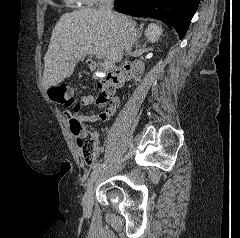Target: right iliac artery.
Returning <instances> with one entry per match:
<instances>
[{
    "instance_id": "1",
    "label": "right iliac artery",
    "mask_w": 240,
    "mask_h": 238,
    "mask_svg": "<svg viewBox=\"0 0 240 238\" xmlns=\"http://www.w3.org/2000/svg\"><path fill=\"white\" fill-rule=\"evenodd\" d=\"M134 151V146L130 145L129 146V151L126 153L127 157H130L133 154ZM104 167L103 164H99L98 166L95 167V169L93 170L91 177L88 181L87 187H90L91 184L95 181V179L97 178L99 172L101 171V169Z\"/></svg>"
}]
</instances>
